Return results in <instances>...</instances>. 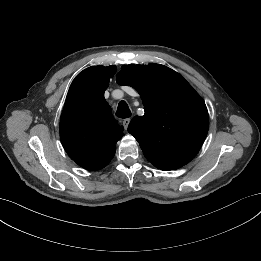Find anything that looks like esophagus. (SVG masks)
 <instances>
[{"label": "esophagus", "mask_w": 261, "mask_h": 261, "mask_svg": "<svg viewBox=\"0 0 261 261\" xmlns=\"http://www.w3.org/2000/svg\"><path fill=\"white\" fill-rule=\"evenodd\" d=\"M131 119L130 118H126L123 120V126L124 128L127 130L129 123H130Z\"/></svg>", "instance_id": "esophagus-1"}]
</instances>
